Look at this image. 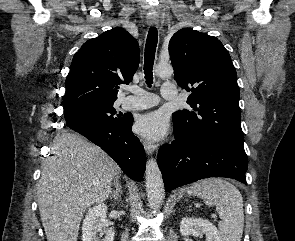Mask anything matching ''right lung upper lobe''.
<instances>
[{"mask_svg": "<svg viewBox=\"0 0 295 241\" xmlns=\"http://www.w3.org/2000/svg\"><path fill=\"white\" fill-rule=\"evenodd\" d=\"M139 65L137 40L113 28L85 42L74 55L66 78L64 112L114 103L120 84L132 81Z\"/></svg>", "mask_w": 295, "mask_h": 241, "instance_id": "obj_1", "label": "right lung upper lobe"}]
</instances>
